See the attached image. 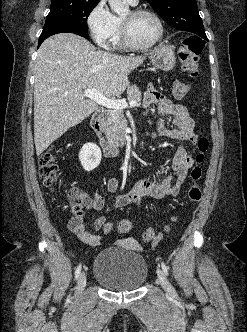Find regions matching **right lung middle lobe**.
<instances>
[{
	"label": "right lung middle lobe",
	"mask_w": 247,
	"mask_h": 332,
	"mask_svg": "<svg viewBox=\"0 0 247 332\" xmlns=\"http://www.w3.org/2000/svg\"><path fill=\"white\" fill-rule=\"evenodd\" d=\"M100 0H52L46 23L66 22L87 28V18Z\"/></svg>",
	"instance_id": "right-lung-middle-lobe-1"
}]
</instances>
